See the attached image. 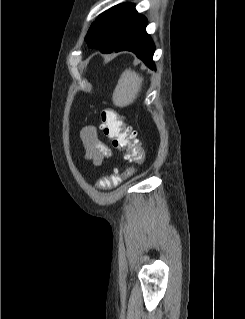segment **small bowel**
<instances>
[{
  "label": "small bowel",
  "instance_id": "1",
  "mask_svg": "<svg viewBox=\"0 0 245 319\" xmlns=\"http://www.w3.org/2000/svg\"><path fill=\"white\" fill-rule=\"evenodd\" d=\"M85 145L86 156L94 165H100L104 159L111 156L108 146L99 138L97 129L94 126L85 127L81 133Z\"/></svg>",
  "mask_w": 245,
  "mask_h": 319
}]
</instances>
